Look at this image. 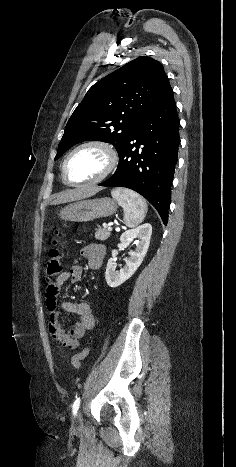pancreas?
Listing matches in <instances>:
<instances>
[{
	"mask_svg": "<svg viewBox=\"0 0 236 467\" xmlns=\"http://www.w3.org/2000/svg\"><path fill=\"white\" fill-rule=\"evenodd\" d=\"M111 233L106 230V228H101L100 226L96 229L95 238L97 240L105 241L110 237Z\"/></svg>",
	"mask_w": 236,
	"mask_h": 467,
	"instance_id": "pancreas-1",
	"label": "pancreas"
}]
</instances>
